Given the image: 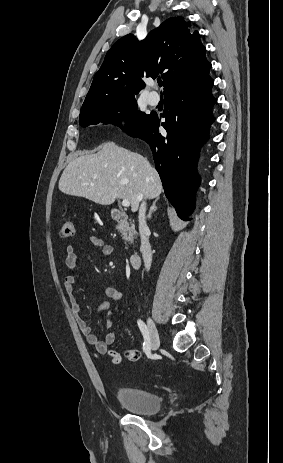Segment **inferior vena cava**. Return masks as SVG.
<instances>
[{
  "instance_id": "1",
  "label": "inferior vena cava",
  "mask_w": 283,
  "mask_h": 463,
  "mask_svg": "<svg viewBox=\"0 0 283 463\" xmlns=\"http://www.w3.org/2000/svg\"><path fill=\"white\" fill-rule=\"evenodd\" d=\"M141 205L139 208V233L141 237V253L144 260V265L146 270H149L152 263V250L151 245L149 242V238L147 236L149 232V228L146 224V202L141 198Z\"/></svg>"
}]
</instances>
